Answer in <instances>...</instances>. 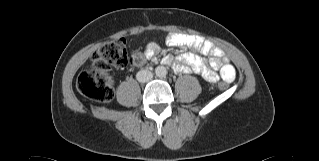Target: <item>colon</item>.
I'll return each mask as SVG.
<instances>
[{"mask_svg": "<svg viewBox=\"0 0 319 161\" xmlns=\"http://www.w3.org/2000/svg\"><path fill=\"white\" fill-rule=\"evenodd\" d=\"M145 61L143 53L129 55L125 38H115L105 43L91 59V64L77 78L78 91L95 101L108 102L114 96V77L111 66L127 68L139 66ZM224 82L220 89H226Z\"/></svg>", "mask_w": 319, "mask_h": 161, "instance_id": "colon-1", "label": "colon"}]
</instances>
